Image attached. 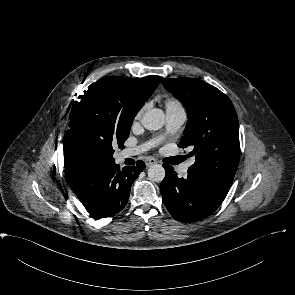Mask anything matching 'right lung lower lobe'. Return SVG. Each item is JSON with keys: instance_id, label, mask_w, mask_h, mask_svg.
I'll return each instance as SVG.
<instances>
[{"instance_id": "obj_1", "label": "right lung lower lobe", "mask_w": 295, "mask_h": 295, "mask_svg": "<svg viewBox=\"0 0 295 295\" xmlns=\"http://www.w3.org/2000/svg\"><path fill=\"white\" fill-rule=\"evenodd\" d=\"M145 167L141 160L122 170L115 161L91 164L69 186L90 217H112L126 206L131 185Z\"/></svg>"}]
</instances>
